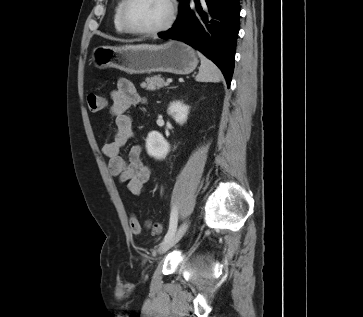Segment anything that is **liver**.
Wrapping results in <instances>:
<instances>
[{
    "label": "liver",
    "mask_w": 363,
    "mask_h": 317,
    "mask_svg": "<svg viewBox=\"0 0 363 317\" xmlns=\"http://www.w3.org/2000/svg\"><path fill=\"white\" fill-rule=\"evenodd\" d=\"M139 47H153L151 45H125L122 48H139Z\"/></svg>",
    "instance_id": "1"
}]
</instances>
